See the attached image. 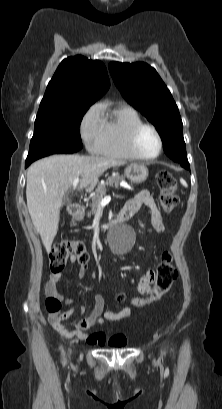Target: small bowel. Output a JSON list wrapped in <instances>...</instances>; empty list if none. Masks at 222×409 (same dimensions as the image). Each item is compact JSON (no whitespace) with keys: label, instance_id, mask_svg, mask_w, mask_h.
Returning a JSON list of instances; mask_svg holds the SVG:
<instances>
[{"label":"small bowel","instance_id":"1","mask_svg":"<svg viewBox=\"0 0 222 409\" xmlns=\"http://www.w3.org/2000/svg\"><path fill=\"white\" fill-rule=\"evenodd\" d=\"M143 209H148L150 212L152 228L156 232H164L165 226L163 224L160 212L153 197L148 191H141L140 193H138L133 199L127 202V204L121 211L124 213H129L131 217L132 215ZM70 261L74 263L76 261V258L72 256L70 258ZM85 273L86 271L81 265L78 271L77 278L82 279ZM146 273L147 274H144L138 283L139 295L141 297H146L148 295L147 289L151 288V284L155 283V278L157 277L156 271L152 268L148 269ZM61 280V273L51 274L45 284L46 294L50 297L57 298L67 306H70L72 308L76 307V300L66 297L59 291ZM93 300V306L86 315H80L72 321L65 322L64 320L67 318V314H50L48 316V320L53 328L60 333L68 335L70 337H75L79 340H85L90 345L99 347L108 346L112 348H120L125 346V338L121 335L107 338L106 335L102 332L88 333L87 331L96 326L103 325L106 321L115 322L129 317L131 315L130 309L125 307L121 310H110L104 312L105 301L103 296L100 294H95ZM69 326L73 327L74 330L69 331Z\"/></svg>","mask_w":222,"mask_h":409}]
</instances>
